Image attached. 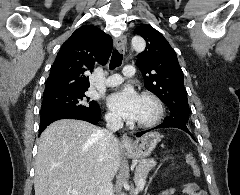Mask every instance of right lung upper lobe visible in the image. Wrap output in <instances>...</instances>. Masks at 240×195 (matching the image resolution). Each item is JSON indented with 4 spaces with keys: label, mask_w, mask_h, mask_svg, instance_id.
<instances>
[{
    "label": "right lung upper lobe",
    "mask_w": 240,
    "mask_h": 195,
    "mask_svg": "<svg viewBox=\"0 0 240 195\" xmlns=\"http://www.w3.org/2000/svg\"><path fill=\"white\" fill-rule=\"evenodd\" d=\"M112 39L93 25L81 26L61 46L50 75L44 95L71 89H87L89 76L95 62L105 64L111 54Z\"/></svg>",
    "instance_id": "right-lung-upper-lobe-1"
}]
</instances>
